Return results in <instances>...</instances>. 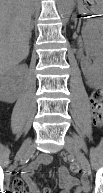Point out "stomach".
Returning a JSON list of instances; mask_svg holds the SVG:
<instances>
[{
  "mask_svg": "<svg viewBox=\"0 0 103 193\" xmlns=\"http://www.w3.org/2000/svg\"><path fill=\"white\" fill-rule=\"evenodd\" d=\"M103 8V0H78V11L83 14L100 13Z\"/></svg>",
  "mask_w": 103,
  "mask_h": 193,
  "instance_id": "obj_1",
  "label": "stomach"
}]
</instances>
